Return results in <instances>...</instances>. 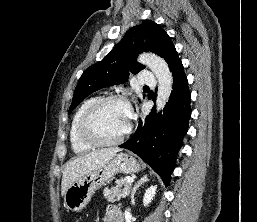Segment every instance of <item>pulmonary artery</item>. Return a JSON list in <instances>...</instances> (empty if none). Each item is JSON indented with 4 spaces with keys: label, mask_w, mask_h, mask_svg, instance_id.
I'll use <instances>...</instances> for the list:
<instances>
[{
    "label": "pulmonary artery",
    "mask_w": 257,
    "mask_h": 222,
    "mask_svg": "<svg viewBox=\"0 0 257 222\" xmlns=\"http://www.w3.org/2000/svg\"><path fill=\"white\" fill-rule=\"evenodd\" d=\"M140 83L151 87H155L157 85L155 76L152 73L146 71L140 74Z\"/></svg>",
    "instance_id": "obj_1"
}]
</instances>
